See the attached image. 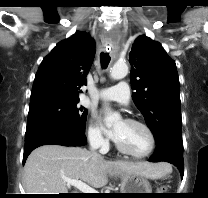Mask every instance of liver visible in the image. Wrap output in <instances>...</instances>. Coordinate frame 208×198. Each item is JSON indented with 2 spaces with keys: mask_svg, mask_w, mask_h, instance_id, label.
Wrapping results in <instances>:
<instances>
[{
  "mask_svg": "<svg viewBox=\"0 0 208 198\" xmlns=\"http://www.w3.org/2000/svg\"><path fill=\"white\" fill-rule=\"evenodd\" d=\"M168 171L170 168L163 163L107 161L80 147L43 145L29 155L23 185L26 194H60L68 193L64 178L100 188L108 183V176L137 174L159 179Z\"/></svg>",
  "mask_w": 208,
  "mask_h": 198,
  "instance_id": "1",
  "label": "liver"
}]
</instances>
